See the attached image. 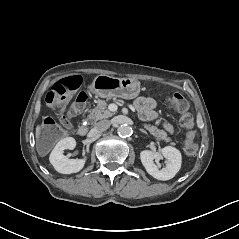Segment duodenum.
<instances>
[{
	"instance_id": "1",
	"label": "duodenum",
	"mask_w": 239,
	"mask_h": 239,
	"mask_svg": "<svg viewBox=\"0 0 239 239\" xmlns=\"http://www.w3.org/2000/svg\"><path fill=\"white\" fill-rule=\"evenodd\" d=\"M88 133V127L86 125H81L79 128H78V134L80 136H85L86 134Z\"/></svg>"
}]
</instances>
